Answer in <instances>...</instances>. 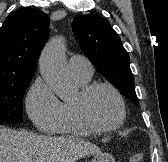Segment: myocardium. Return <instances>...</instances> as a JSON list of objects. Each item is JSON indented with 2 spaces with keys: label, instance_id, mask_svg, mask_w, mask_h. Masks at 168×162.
Here are the masks:
<instances>
[{
  "label": "myocardium",
  "instance_id": "f54148a6",
  "mask_svg": "<svg viewBox=\"0 0 168 162\" xmlns=\"http://www.w3.org/2000/svg\"><path fill=\"white\" fill-rule=\"evenodd\" d=\"M98 89H106L110 91L119 106L120 115L116 122L110 125H99L95 123L86 112V101L89 96ZM75 116L79 123L89 129L91 132H111L119 129L125 122L127 117L125 101L121 93L111 84L105 82H93L82 86L78 97L72 102Z\"/></svg>",
  "mask_w": 168,
  "mask_h": 162
}]
</instances>
